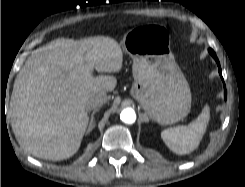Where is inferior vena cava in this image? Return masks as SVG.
<instances>
[{"label": "inferior vena cava", "instance_id": "602c4592", "mask_svg": "<svg viewBox=\"0 0 245 187\" xmlns=\"http://www.w3.org/2000/svg\"><path fill=\"white\" fill-rule=\"evenodd\" d=\"M107 101V94L105 91H99L89 96L86 106L88 109L103 106Z\"/></svg>", "mask_w": 245, "mask_h": 187}]
</instances>
